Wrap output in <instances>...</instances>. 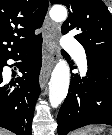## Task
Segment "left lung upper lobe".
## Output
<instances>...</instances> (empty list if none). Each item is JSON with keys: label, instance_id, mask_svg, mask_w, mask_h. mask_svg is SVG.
<instances>
[{"label": "left lung upper lobe", "instance_id": "5c2ea615", "mask_svg": "<svg viewBox=\"0 0 112 135\" xmlns=\"http://www.w3.org/2000/svg\"><path fill=\"white\" fill-rule=\"evenodd\" d=\"M63 4L69 16L63 23L62 34L78 31L75 39L85 48L88 57L112 60V16L101 0H50Z\"/></svg>", "mask_w": 112, "mask_h": 135}]
</instances>
